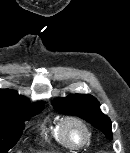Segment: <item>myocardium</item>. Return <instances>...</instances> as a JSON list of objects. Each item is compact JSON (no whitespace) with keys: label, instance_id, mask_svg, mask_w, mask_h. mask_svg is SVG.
I'll use <instances>...</instances> for the list:
<instances>
[{"label":"myocardium","instance_id":"1","mask_svg":"<svg viewBox=\"0 0 130 153\" xmlns=\"http://www.w3.org/2000/svg\"><path fill=\"white\" fill-rule=\"evenodd\" d=\"M70 124H76L82 129L84 133V140L80 144H75L70 140L68 133H67V128ZM61 133L64 138V141L71 149L83 148L84 146L88 144L90 140V136H91L90 129L88 125L86 124V122L80 117L75 116V115H70V116L63 118V120L61 121Z\"/></svg>","mask_w":130,"mask_h":153}]
</instances>
